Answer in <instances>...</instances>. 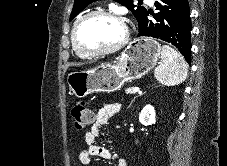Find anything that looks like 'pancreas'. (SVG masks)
Segmentation results:
<instances>
[{
	"mask_svg": "<svg viewBox=\"0 0 227 166\" xmlns=\"http://www.w3.org/2000/svg\"><path fill=\"white\" fill-rule=\"evenodd\" d=\"M133 88L134 87H129V88H127L126 90H125V92L127 93V94H133L134 92H133Z\"/></svg>",
	"mask_w": 227,
	"mask_h": 166,
	"instance_id": "1",
	"label": "pancreas"
}]
</instances>
